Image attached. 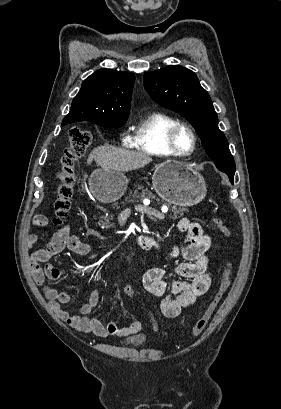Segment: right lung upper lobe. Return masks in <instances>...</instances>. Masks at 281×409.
I'll return each instance as SVG.
<instances>
[{
	"label": "right lung upper lobe",
	"instance_id": "obj_1",
	"mask_svg": "<svg viewBox=\"0 0 281 409\" xmlns=\"http://www.w3.org/2000/svg\"><path fill=\"white\" fill-rule=\"evenodd\" d=\"M134 80L135 76L126 71H96L83 82L62 125L77 121L126 122Z\"/></svg>",
	"mask_w": 281,
	"mask_h": 409
}]
</instances>
